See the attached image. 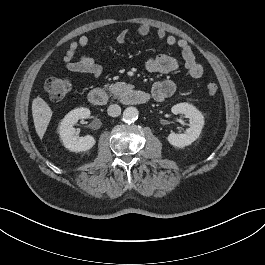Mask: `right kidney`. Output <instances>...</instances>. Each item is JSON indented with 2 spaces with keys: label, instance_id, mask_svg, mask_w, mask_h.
<instances>
[{
  "label": "right kidney",
  "instance_id": "1",
  "mask_svg": "<svg viewBox=\"0 0 265 265\" xmlns=\"http://www.w3.org/2000/svg\"><path fill=\"white\" fill-rule=\"evenodd\" d=\"M89 116L90 110L80 107L70 111L63 118L59 126V135L65 148L72 152H83L94 146V137L90 135L77 137L75 136V128L73 127L79 119H86L89 118Z\"/></svg>",
  "mask_w": 265,
  "mask_h": 265
}]
</instances>
